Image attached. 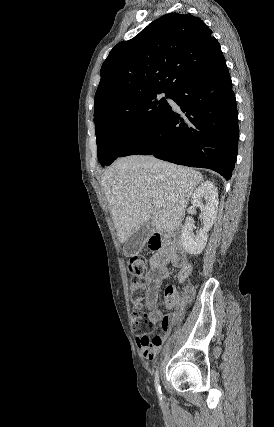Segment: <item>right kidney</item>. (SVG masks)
Masks as SVG:
<instances>
[{"instance_id": "right-kidney-1", "label": "right kidney", "mask_w": 274, "mask_h": 427, "mask_svg": "<svg viewBox=\"0 0 274 427\" xmlns=\"http://www.w3.org/2000/svg\"><path fill=\"white\" fill-rule=\"evenodd\" d=\"M202 198L206 200V206L202 204ZM192 206L200 208L203 217V229H199L196 235L193 233L194 221L192 217H186L184 227L182 229L181 241L184 249L188 253H202L208 239V231L211 229L214 219H216L218 210V192L213 182H202L195 190L191 198Z\"/></svg>"}]
</instances>
